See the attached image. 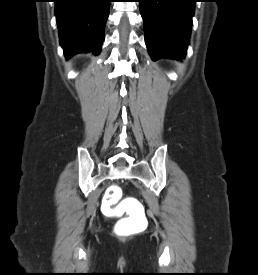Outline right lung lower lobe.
I'll use <instances>...</instances> for the list:
<instances>
[{"label": "right lung lower lobe", "mask_w": 258, "mask_h": 275, "mask_svg": "<svg viewBox=\"0 0 258 275\" xmlns=\"http://www.w3.org/2000/svg\"><path fill=\"white\" fill-rule=\"evenodd\" d=\"M60 44L66 58L80 52L99 54L110 0H55Z\"/></svg>", "instance_id": "98d812e1"}]
</instances>
